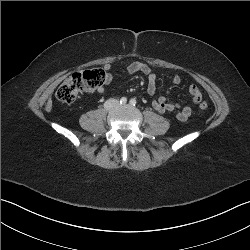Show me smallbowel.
Instances as JSON below:
<instances>
[{"instance_id": "c3829d8e", "label": "small bowel", "mask_w": 250, "mask_h": 250, "mask_svg": "<svg viewBox=\"0 0 250 250\" xmlns=\"http://www.w3.org/2000/svg\"><path fill=\"white\" fill-rule=\"evenodd\" d=\"M103 72L105 73V83L110 84L113 80V75L111 73V65L105 64L103 66ZM126 73L128 75H134L141 73L147 78V93L150 96H154L156 93L157 83L160 78L158 72L153 71L147 64L142 62H132L126 67ZM170 83L173 85H178L181 83V77L179 75H174L170 78ZM105 87L102 85L97 88V93L104 94ZM189 93L192 97L193 103H198L202 99V93L196 85H191L189 87ZM153 108L159 113H166L177 110L176 117L179 121H186L191 113L192 107L188 104L182 105L180 103H171L164 96H160L152 101Z\"/></svg>"}]
</instances>
